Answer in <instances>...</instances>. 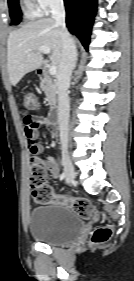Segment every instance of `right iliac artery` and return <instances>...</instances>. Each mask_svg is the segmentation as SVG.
<instances>
[{"mask_svg": "<svg viewBox=\"0 0 134 281\" xmlns=\"http://www.w3.org/2000/svg\"><path fill=\"white\" fill-rule=\"evenodd\" d=\"M65 178V172H62V174L60 175V180H63Z\"/></svg>", "mask_w": 134, "mask_h": 281, "instance_id": "1", "label": "right iliac artery"}]
</instances>
